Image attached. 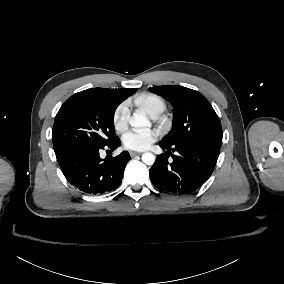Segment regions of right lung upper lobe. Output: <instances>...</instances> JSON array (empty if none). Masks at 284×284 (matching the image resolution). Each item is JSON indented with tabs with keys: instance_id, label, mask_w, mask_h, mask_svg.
Segmentation results:
<instances>
[{
	"instance_id": "1",
	"label": "right lung upper lobe",
	"mask_w": 284,
	"mask_h": 284,
	"mask_svg": "<svg viewBox=\"0 0 284 284\" xmlns=\"http://www.w3.org/2000/svg\"><path fill=\"white\" fill-rule=\"evenodd\" d=\"M88 90L94 91L102 95L108 101H110L111 103L117 106L127 97L131 96L136 92L135 88H126V89L91 88Z\"/></svg>"
}]
</instances>
